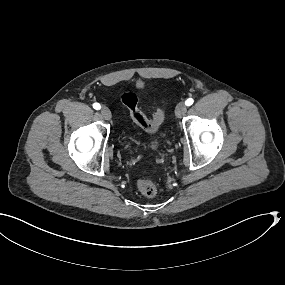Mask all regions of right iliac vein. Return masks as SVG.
<instances>
[{
  "mask_svg": "<svg viewBox=\"0 0 285 285\" xmlns=\"http://www.w3.org/2000/svg\"><path fill=\"white\" fill-rule=\"evenodd\" d=\"M100 112H101V115L103 116V118L105 120H108V121L111 120L112 115H111V112L108 108L102 107Z\"/></svg>",
  "mask_w": 285,
  "mask_h": 285,
  "instance_id": "right-iliac-vein-1",
  "label": "right iliac vein"
}]
</instances>
